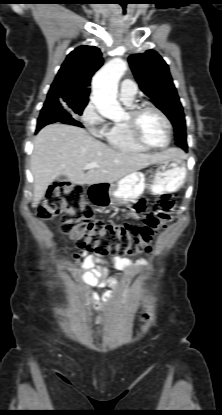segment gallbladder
<instances>
[{
    "label": "gallbladder",
    "instance_id": "1",
    "mask_svg": "<svg viewBox=\"0 0 222 415\" xmlns=\"http://www.w3.org/2000/svg\"><path fill=\"white\" fill-rule=\"evenodd\" d=\"M57 180L58 181H66L67 178L65 176H59Z\"/></svg>",
    "mask_w": 222,
    "mask_h": 415
}]
</instances>
